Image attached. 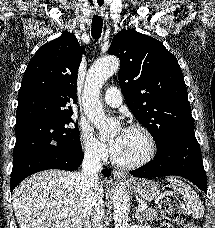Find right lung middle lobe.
Listing matches in <instances>:
<instances>
[{"mask_svg":"<svg viewBox=\"0 0 215 228\" xmlns=\"http://www.w3.org/2000/svg\"><path fill=\"white\" fill-rule=\"evenodd\" d=\"M71 115L36 117L16 123L13 158L39 147L81 150L79 129L77 123L71 125Z\"/></svg>","mask_w":215,"mask_h":228,"instance_id":"obj_1","label":"right lung middle lobe"}]
</instances>
